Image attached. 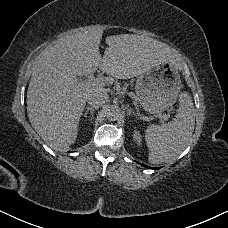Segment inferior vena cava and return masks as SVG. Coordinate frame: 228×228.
<instances>
[{
	"instance_id": "602c4592",
	"label": "inferior vena cava",
	"mask_w": 228,
	"mask_h": 228,
	"mask_svg": "<svg viewBox=\"0 0 228 228\" xmlns=\"http://www.w3.org/2000/svg\"><path fill=\"white\" fill-rule=\"evenodd\" d=\"M108 100L106 91H92L87 96V102L94 108H100L105 105Z\"/></svg>"
}]
</instances>
